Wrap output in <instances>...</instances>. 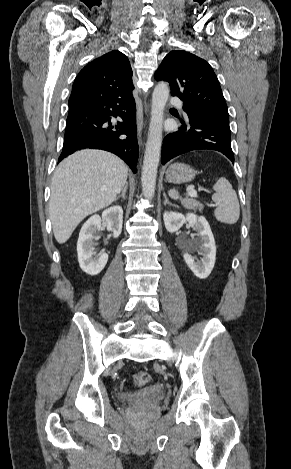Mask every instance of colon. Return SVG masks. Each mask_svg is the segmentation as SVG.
I'll return each instance as SVG.
<instances>
[{
    "instance_id": "colon-1",
    "label": "colon",
    "mask_w": 291,
    "mask_h": 469,
    "mask_svg": "<svg viewBox=\"0 0 291 469\" xmlns=\"http://www.w3.org/2000/svg\"><path fill=\"white\" fill-rule=\"evenodd\" d=\"M151 380V376L145 372V371H140L134 375V384L137 386H145L147 385Z\"/></svg>"
}]
</instances>
